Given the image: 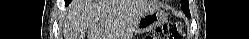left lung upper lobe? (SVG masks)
<instances>
[{"label": "left lung upper lobe", "mask_w": 249, "mask_h": 39, "mask_svg": "<svg viewBox=\"0 0 249 39\" xmlns=\"http://www.w3.org/2000/svg\"><path fill=\"white\" fill-rule=\"evenodd\" d=\"M181 7H182V10L185 12L186 15L190 14L188 0H181Z\"/></svg>", "instance_id": "obj_1"}]
</instances>
